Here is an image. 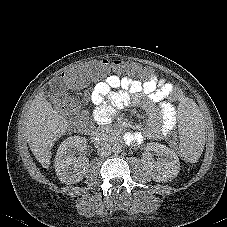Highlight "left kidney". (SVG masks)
<instances>
[{
	"mask_svg": "<svg viewBox=\"0 0 227 227\" xmlns=\"http://www.w3.org/2000/svg\"><path fill=\"white\" fill-rule=\"evenodd\" d=\"M147 151H155L161 158L157 161L149 152L144 154L147 163V173L157 182H167L175 178L180 170L177 154L163 144L151 142L147 145Z\"/></svg>",
	"mask_w": 227,
	"mask_h": 227,
	"instance_id": "1",
	"label": "left kidney"
}]
</instances>
